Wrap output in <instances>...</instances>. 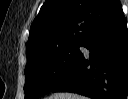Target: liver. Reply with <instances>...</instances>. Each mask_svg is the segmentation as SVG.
<instances>
[{
  "label": "liver",
  "instance_id": "obj_1",
  "mask_svg": "<svg viewBox=\"0 0 128 99\" xmlns=\"http://www.w3.org/2000/svg\"><path fill=\"white\" fill-rule=\"evenodd\" d=\"M48 99H87V98L71 93H55L52 94Z\"/></svg>",
  "mask_w": 128,
  "mask_h": 99
}]
</instances>
